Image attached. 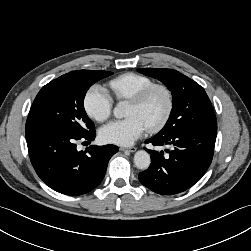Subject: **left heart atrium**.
Wrapping results in <instances>:
<instances>
[{
	"instance_id": "1",
	"label": "left heart atrium",
	"mask_w": 251,
	"mask_h": 251,
	"mask_svg": "<svg viewBox=\"0 0 251 251\" xmlns=\"http://www.w3.org/2000/svg\"><path fill=\"white\" fill-rule=\"evenodd\" d=\"M147 126L137 116L114 120L99 130V137L105 143L128 146L140 138Z\"/></svg>"
}]
</instances>
